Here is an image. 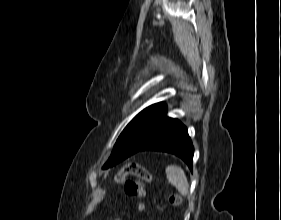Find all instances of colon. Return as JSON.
Returning a JSON list of instances; mask_svg holds the SVG:
<instances>
[{
  "instance_id": "obj_1",
  "label": "colon",
  "mask_w": 281,
  "mask_h": 220,
  "mask_svg": "<svg viewBox=\"0 0 281 220\" xmlns=\"http://www.w3.org/2000/svg\"><path fill=\"white\" fill-rule=\"evenodd\" d=\"M115 180L124 186L127 196L138 200V209L143 212L146 197L145 184L151 182L148 170L137 163H128L118 171ZM168 200L172 205L181 203V197L177 194H170Z\"/></svg>"
}]
</instances>
